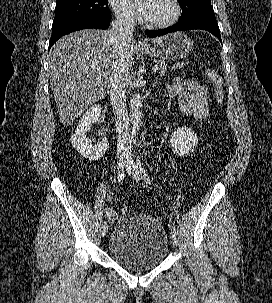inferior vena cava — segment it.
I'll return each instance as SVG.
<instances>
[{
	"mask_svg": "<svg viewBox=\"0 0 272 303\" xmlns=\"http://www.w3.org/2000/svg\"><path fill=\"white\" fill-rule=\"evenodd\" d=\"M134 19L128 14H118L111 23V31L116 48L113 62L110 98L115 116L117 132V157L119 160L132 159L129 118L125 92L129 85V60L127 47L132 40Z\"/></svg>",
	"mask_w": 272,
	"mask_h": 303,
	"instance_id": "1",
	"label": "inferior vena cava"
}]
</instances>
